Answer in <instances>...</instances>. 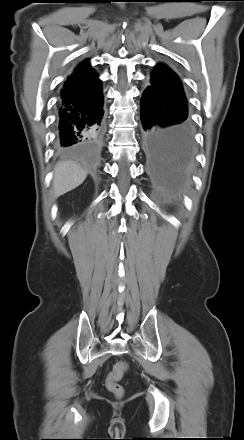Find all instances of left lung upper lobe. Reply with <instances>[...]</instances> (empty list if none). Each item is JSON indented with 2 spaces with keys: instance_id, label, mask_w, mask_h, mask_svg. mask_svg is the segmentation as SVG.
<instances>
[{
  "instance_id": "obj_1",
  "label": "left lung upper lobe",
  "mask_w": 244,
  "mask_h": 440,
  "mask_svg": "<svg viewBox=\"0 0 244 440\" xmlns=\"http://www.w3.org/2000/svg\"><path fill=\"white\" fill-rule=\"evenodd\" d=\"M151 86L175 104L188 109L180 79L168 66L158 64L153 69L151 73Z\"/></svg>"
}]
</instances>
